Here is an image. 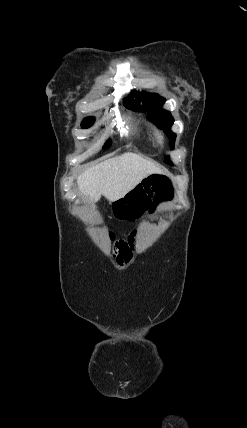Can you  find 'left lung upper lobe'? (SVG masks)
<instances>
[{
  "instance_id": "1",
  "label": "left lung upper lobe",
  "mask_w": 247,
  "mask_h": 428,
  "mask_svg": "<svg viewBox=\"0 0 247 428\" xmlns=\"http://www.w3.org/2000/svg\"><path fill=\"white\" fill-rule=\"evenodd\" d=\"M143 101V105L140 106L138 101ZM165 102V99L157 94H150L145 92H132L131 96L128 97L126 107L135 111H148V119L153 121L159 128L163 129L168 138L171 140L170 145L173 146L176 138V134L171 131V126L174 122L170 112L163 110L160 106ZM166 163L172 165L168 157H166Z\"/></svg>"
}]
</instances>
